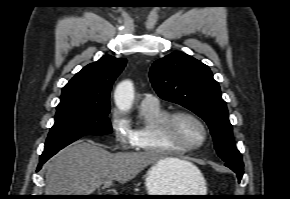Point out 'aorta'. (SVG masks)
<instances>
[{
    "label": "aorta",
    "mask_w": 290,
    "mask_h": 199,
    "mask_svg": "<svg viewBox=\"0 0 290 199\" xmlns=\"http://www.w3.org/2000/svg\"><path fill=\"white\" fill-rule=\"evenodd\" d=\"M116 106L120 110H129L132 107L134 100V88L131 81L121 82L114 94Z\"/></svg>",
    "instance_id": "obj_1"
}]
</instances>
